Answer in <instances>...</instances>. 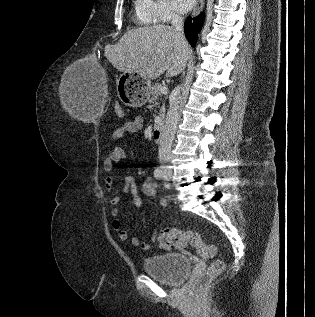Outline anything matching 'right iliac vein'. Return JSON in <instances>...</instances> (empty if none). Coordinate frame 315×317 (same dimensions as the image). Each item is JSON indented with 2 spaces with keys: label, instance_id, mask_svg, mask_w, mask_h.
I'll use <instances>...</instances> for the list:
<instances>
[{
  "label": "right iliac vein",
  "instance_id": "63e3f726",
  "mask_svg": "<svg viewBox=\"0 0 315 317\" xmlns=\"http://www.w3.org/2000/svg\"><path fill=\"white\" fill-rule=\"evenodd\" d=\"M164 177L166 178V180H170V178H171L170 175H168V174H165Z\"/></svg>",
  "mask_w": 315,
  "mask_h": 317
}]
</instances>
